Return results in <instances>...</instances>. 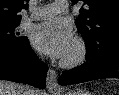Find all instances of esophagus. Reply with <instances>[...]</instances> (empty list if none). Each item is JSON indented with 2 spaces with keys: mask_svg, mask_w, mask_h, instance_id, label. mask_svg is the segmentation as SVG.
I'll list each match as a JSON object with an SVG mask.
<instances>
[{
  "mask_svg": "<svg viewBox=\"0 0 119 95\" xmlns=\"http://www.w3.org/2000/svg\"><path fill=\"white\" fill-rule=\"evenodd\" d=\"M46 84L48 90H56L58 89V84H57V74L53 69H49L46 77Z\"/></svg>",
  "mask_w": 119,
  "mask_h": 95,
  "instance_id": "34e87169",
  "label": "esophagus"
}]
</instances>
